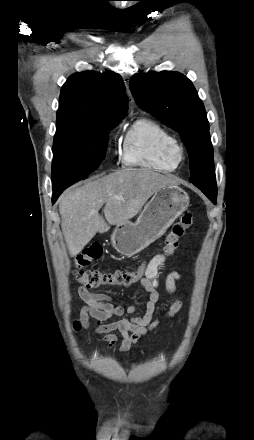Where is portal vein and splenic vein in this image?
Listing matches in <instances>:
<instances>
[{"mask_svg": "<svg viewBox=\"0 0 254 440\" xmlns=\"http://www.w3.org/2000/svg\"><path fill=\"white\" fill-rule=\"evenodd\" d=\"M113 198L118 199V200H122L121 196H113Z\"/></svg>", "mask_w": 254, "mask_h": 440, "instance_id": "obj_1", "label": "portal vein and splenic vein"}]
</instances>
